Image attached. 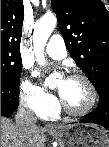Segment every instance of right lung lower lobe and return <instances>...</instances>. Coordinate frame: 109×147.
I'll return each instance as SVG.
<instances>
[{
	"label": "right lung lower lobe",
	"mask_w": 109,
	"mask_h": 147,
	"mask_svg": "<svg viewBox=\"0 0 109 147\" xmlns=\"http://www.w3.org/2000/svg\"><path fill=\"white\" fill-rule=\"evenodd\" d=\"M19 103V86L1 84V116H11Z\"/></svg>",
	"instance_id": "right-lung-lower-lobe-1"
}]
</instances>
